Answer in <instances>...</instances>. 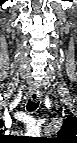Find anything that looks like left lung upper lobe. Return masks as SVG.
<instances>
[{
    "label": "left lung upper lobe",
    "mask_w": 77,
    "mask_h": 143,
    "mask_svg": "<svg viewBox=\"0 0 77 143\" xmlns=\"http://www.w3.org/2000/svg\"><path fill=\"white\" fill-rule=\"evenodd\" d=\"M58 138L68 141H74L77 138V119L75 117H68L64 120Z\"/></svg>",
    "instance_id": "obj_1"
}]
</instances>
